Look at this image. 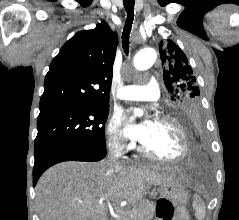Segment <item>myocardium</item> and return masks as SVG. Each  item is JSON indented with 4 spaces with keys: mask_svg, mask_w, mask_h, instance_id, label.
Returning a JSON list of instances; mask_svg holds the SVG:
<instances>
[{
    "mask_svg": "<svg viewBox=\"0 0 239 220\" xmlns=\"http://www.w3.org/2000/svg\"><path fill=\"white\" fill-rule=\"evenodd\" d=\"M154 120L157 122H161V123L172 124L174 127L177 128V130L179 131V133L181 135V140H182L181 153L176 157L166 158V157H162V156L153 154L143 144H141L139 146V151L141 152V154L151 160L163 162V163H176V162H179V161L183 160L184 158H186V156L189 153V139H188V135H187V132H186L184 126L176 118L169 116V115H157L154 118Z\"/></svg>",
    "mask_w": 239,
    "mask_h": 220,
    "instance_id": "1",
    "label": "myocardium"
}]
</instances>
